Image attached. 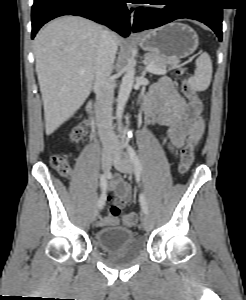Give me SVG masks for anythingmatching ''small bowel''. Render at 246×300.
I'll return each mask as SVG.
<instances>
[{"label": "small bowel", "instance_id": "small-bowel-1", "mask_svg": "<svg viewBox=\"0 0 246 300\" xmlns=\"http://www.w3.org/2000/svg\"><path fill=\"white\" fill-rule=\"evenodd\" d=\"M145 104L151 122L167 128L162 141L172 153L183 146L184 140L190 132H194L197 136H201L204 132V123L196 119L201 107L187 104L166 77L161 78L159 84L150 91ZM109 189L114 192L117 206L124 207L130 201V187L121 177L114 176L109 184ZM110 199L111 196L105 192L104 203ZM95 218L99 227L112 226L117 223V218L111 215L99 214Z\"/></svg>", "mask_w": 246, "mask_h": 300}]
</instances>
